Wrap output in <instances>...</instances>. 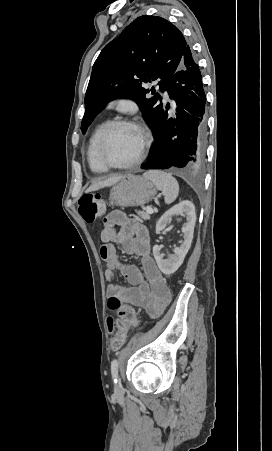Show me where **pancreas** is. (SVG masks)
Wrapping results in <instances>:
<instances>
[{"instance_id": "pancreas-1", "label": "pancreas", "mask_w": 272, "mask_h": 451, "mask_svg": "<svg viewBox=\"0 0 272 451\" xmlns=\"http://www.w3.org/2000/svg\"><path fill=\"white\" fill-rule=\"evenodd\" d=\"M137 214L142 220H150V216L149 214H146V212H137Z\"/></svg>"}]
</instances>
